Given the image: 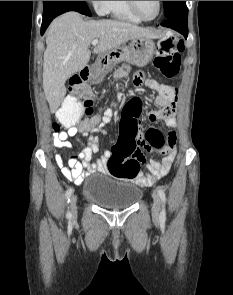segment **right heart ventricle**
<instances>
[{"label":"right heart ventricle","mask_w":233,"mask_h":295,"mask_svg":"<svg viewBox=\"0 0 233 295\" xmlns=\"http://www.w3.org/2000/svg\"><path fill=\"white\" fill-rule=\"evenodd\" d=\"M108 13L119 20L138 23L141 20L136 17L129 8L127 1H109Z\"/></svg>","instance_id":"e07e8e85"}]
</instances>
